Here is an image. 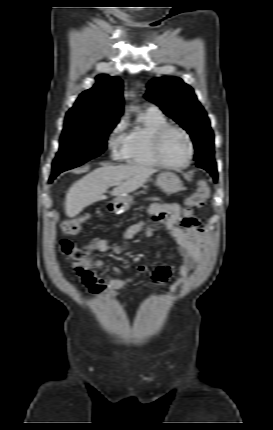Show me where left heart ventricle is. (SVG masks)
Masks as SVG:
<instances>
[{"label": "left heart ventricle", "mask_w": 273, "mask_h": 430, "mask_svg": "<svg viewBox=\"0 0 273 430\" xmlns=\"http://www.w3.org/2000/svg\"><path fill=\"white\" fill-rule=\"evenodd\" d=\"M162 156L170 164H183L188 157V144L182 133L169 131L162 142Z\"/></svg>", "instance_id": "obj_1"}]
</instances>
